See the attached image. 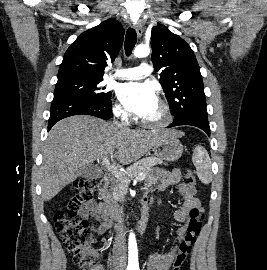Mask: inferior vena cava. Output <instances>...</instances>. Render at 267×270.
<instances>
[{
	"mask_svg": "<svg viewBox=\"0 0 267 270\" xmlns=\"http://www.w3.org/2000/svg\"><path fill=\"white\" fill-rule=\"evenodd\" d=\"M114 124L120 127H127V123L125 121L119 122L118 120L114 121ZM113 211L118 215L119 219L115 226L116 237H115V245H116V256L115 261L123 266L126 265V239H125V231L123 225V210L118 205H113Z\"/></svg>",
	"mask_w": 267,
	"mask_h": 270,
	"instance_id": "1",
	"label": "inferior vena cava"
}]
</instances>
